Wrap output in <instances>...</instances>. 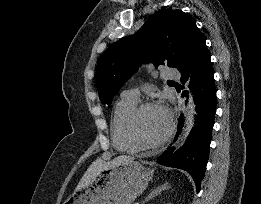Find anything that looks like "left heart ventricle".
Wrapping results in <instances>:
<instances>
[{"instance_id":"left-heart-ventricle-1","label":"left heart ventricle","mask_w":261,"mask_h":204,"mask_svg":"<svg viewBox=\"0 0 261 204\" xmlns=\"http://www.w3.org/2000/svg\"><path fill=\"white\" fill-rule=\"evenodd\" d=\"M168 128L166 114L159 108L145 110L137 123V131L140 137L148 143L161 139Z\"/></svg>"}]
</instances>
